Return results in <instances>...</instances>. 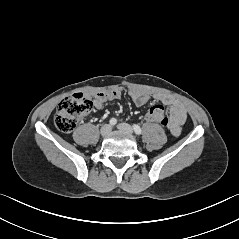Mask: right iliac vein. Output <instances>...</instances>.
Wrapping results in <instances>:
<instances>
[{"mask_svg": "<svg viewBox=\"0 0 239 239\" xmlns=\"http://www.w3.org/2000/svg\"><path fill=\"white\" fill-rule=\"evenodd\" d=\"M112 130V127L109 124L102 126L100 133L102 136H107Z\"/></svg>", "mask_w": 239, "mask_h": 239, "instance_id": "right-iliac-vein-1", "label": "right iliac vein"}]
</instances>
